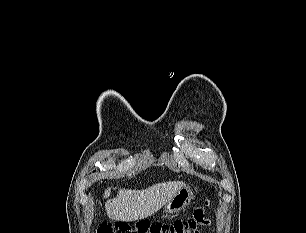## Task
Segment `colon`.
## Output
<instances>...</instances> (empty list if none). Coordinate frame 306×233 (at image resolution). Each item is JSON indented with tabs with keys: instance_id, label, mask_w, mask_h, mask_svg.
Here are the masks:
<instances>
[{
	"instance_id": "1",
	"label": "colon",
	"mask_w": 306,
	"mask_h": 233,
	"mask_svg": "<svg viewBox=\"0 0 306 233\" xmlns=\"http://www.w3.org/2000/svg\"><path fill=\"white\" fill-rule=\"evenodd\" d=\"M209 223L207 207H202L196 209L188 219L173 223L138 222L134 225L125 222L103 223L97 233H198L199 229L208 226Z\"/></svg>"
}]
</instances>
